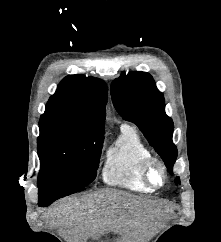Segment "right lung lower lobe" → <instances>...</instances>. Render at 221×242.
Instances as JSON below:
<instances>
[{"label":"right lung lower lobe","instance_id":"obj_1","mask_svg":"<svg viewBox=\"0 0 221 242\" xmlns=\"http://www.w3.org/2000/svg\"><path fill=\"white\" fill-rule=\"evenodd\" d=\"M84 187H66V186H55L46 184L38 187L39 202L40 207H46L50 205L55 200L82 191Z\"/></svg>","mask_w":221,"mask_h":242}]
</instances>
